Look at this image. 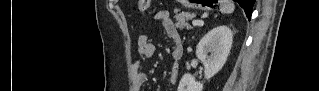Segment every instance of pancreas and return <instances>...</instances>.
I'll list each match as a JSON object with an SVG mask.
<instances>
[{
	"label": "pancreas",
	"instance_id": "obj_1",
	"mask_svg": "<svg viewBox=\"0 0 319 91\" xmlns=\"http://www.w3.org/2000/svg\"><path fill=\"white\" fill-rule=\"evenodd\" d=\"M175 16H174V19H175V22H176V27L179 29V30H183L184 28H187V29H191V26L189 25L188 21L192 18L195 17V14L194 13H190V12H181V13H178L179 10H175Z\"/></svg>",
	"mask_w": 319,
	"mask_h": 91
}]
</instances>
